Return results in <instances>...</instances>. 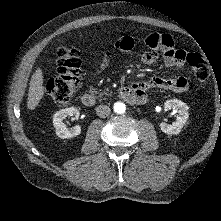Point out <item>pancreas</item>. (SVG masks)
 I'll return each mask as SVG.
<instances>
[{
	"label": "pancreas",
	"mask_w": 221,
	"mask_h": 221,
	"mask_svg": "<svg viewBox=\"0 0 221 221\" xmlns=\"http://www.w3.org/2000/svg\"><path fill=\"white\" fill-rule=\"evenodd\" d=\"M93 93H98L96 90H92ZM104 94H106L107 96L111 95L112 92L109 93V89L106 88L102 93L99 94V96H103Z\"/></svg>",
	"instance_id": "obj_1"
}]
</instances>
